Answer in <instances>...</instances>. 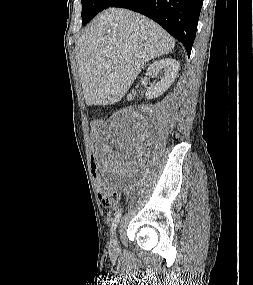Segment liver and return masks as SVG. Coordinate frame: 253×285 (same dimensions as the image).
Instances as JSON below:
<instances>
[{
	"mask_svg": "<svg viewBox=\"0 0 253 285\" xmlns=\"http://www.w3.org/2000/svg\"><path fill=\"white\" fill-rule=\"evenodd\" d=\"M174 46V39L143 15L121 8L103 11L75 47L86 105L119 102L144 65Z\"/></svg>",
	"mask_w": 253,
	"mask_h": 285,
	"instance_id": "liver-1",
	"label": "liver"
}]
</instances>
